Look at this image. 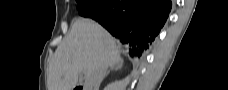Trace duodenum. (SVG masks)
<instances>
[{
	"label": "duodenum",
	"mask_w": 228,
	"mask_h": 90,
	"mask_svg": "<svg viewBox=\"0 0 228 90\" xmlns=\"http://www.w3.org/2000/svg\"><path fill=\"white\" fill-rule=\"evenodd\" d=\"M74 90H85V88L81 85H78L74 88Z\"/></svg>",
	"instance_id": "duodenum-1"
}]
</instances>
